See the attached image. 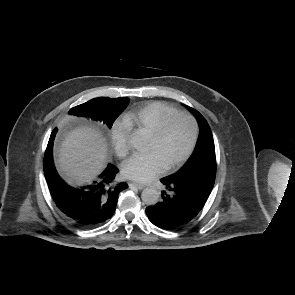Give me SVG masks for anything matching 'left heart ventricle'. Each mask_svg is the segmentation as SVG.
I'll return each instance as SVG.
<instances>
[{
  "instance_id": "obj_1",
  "label": "left heart ventricle",
  "mask_w": 295,
  "mask_h": 295,
  "mask_svg": "<svg viewBox=\"0 0 295 295\" xmlns=\"http://www.w3.org/2000/svg\"><path fill=\"white\" fill-rule=\"evenodd\" d=\"M192 132L190 120L186 117H177L168 124L161 138L154 139L150 136L147 151L155 152L166 167L186 152Z\"/></svg>"
}]
</instances>
